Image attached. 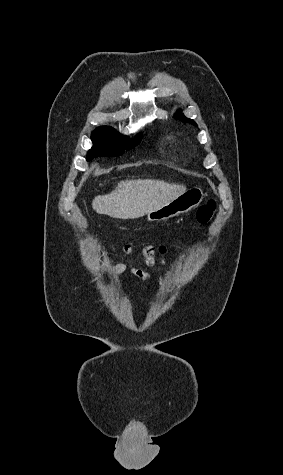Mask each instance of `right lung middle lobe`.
Masks as SVG:
<instances>
[{"label": "right lung middle lobe", "mask_w": 283, "mask_h": 475, "mask_svg": "<svg viewBox=\"0 0 283 475\" xmlns=\"http://www.w3.org/2000/svg\"><path fill=\"white\" fill-rule=\"evenodd\" d=\"M93 147L87 154V161L100 156H119L124 150L131 149L139 144L142 136H138L133 144L126 136H120L112 127H97L91 136Z\"/></svg>", "instance_id": "1"}]
</instances>
